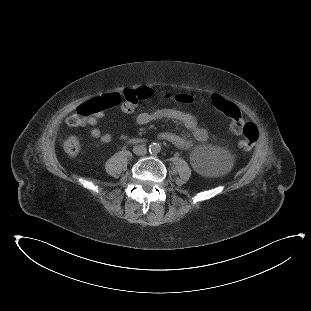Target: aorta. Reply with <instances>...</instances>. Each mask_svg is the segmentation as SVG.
<instances>
[{
    "instance_id": "762f6f07",
    "label": "aorta",
    "mask_w": 311,
    "mask_h": 311,
    "mask_svg": "<svg viewBox=\"0 0 311 311\" xmlns=\"http://www.w3.org/2000/svg\"><path fill=\"white\" fill-rule=\"evenodd\" d=\"M160 146L156 143H152L150 146H149V152L151 154H157L159 151H160Z\"/></svg>"
}]
</instances>
